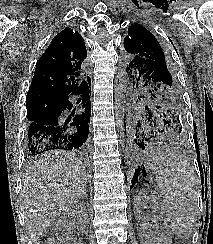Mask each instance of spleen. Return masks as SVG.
<instances>
[{"label":"spleen","instance_id":"obj_1","mask_svg":"<svg viewBox=\"0 0 213 244\" xmlns=\"http://www.w3.org/2000/svg\"><path fill=\"white\" fill-rule=\"evenodd\" d=\"M161 192L168 226L181 239H189L197 216L198 183L185 162L172 152H158L148 161Z\"/></svg>","mask_w":213,"mask_h":244}]
</instances>
